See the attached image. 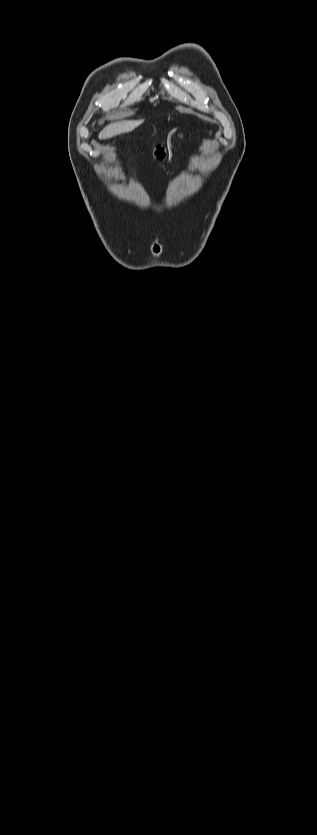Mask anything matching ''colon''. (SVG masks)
<instances>
[{
  "label": "colon",
  "instance_id": "1",
  "mask_svg": "<svg viewBox=\"0 0 317 835\" xmlns=\"http://www.w3.org/2000/svg\"><path fill=\"white\" fill-rule=\"evenodd\" d=\"M168 152H169V148H166V147H163V146H158L155 149L154 156L157 160H163L166 157Z\"/></svg>",
  "mask_w": 317,
  "mask_h": 835
}]
</instances>
